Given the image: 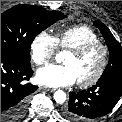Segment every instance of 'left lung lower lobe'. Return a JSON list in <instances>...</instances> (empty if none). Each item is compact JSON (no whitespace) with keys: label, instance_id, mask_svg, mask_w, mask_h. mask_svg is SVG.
Returning a JSON list of instances; mask_svg holds the SVG:
<instances>
[{"label":"left lung lower lobe","instance_id":"obj_1","mask_svg":"<svg viewBox=\"0 0 122 122\" xmlns=\"http://www.w3.org/2000/svg\"><path fill=\"white\" fill-rule=\"evenodd\" d=\"M122 95V76L98 80L87 91L71 92L65 117L75 122H88L108 114Z\"/></svg>","mask_w":122,"mask_h":122}]
</instances>
